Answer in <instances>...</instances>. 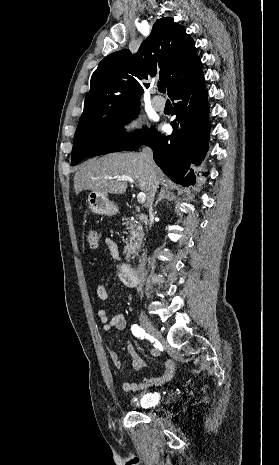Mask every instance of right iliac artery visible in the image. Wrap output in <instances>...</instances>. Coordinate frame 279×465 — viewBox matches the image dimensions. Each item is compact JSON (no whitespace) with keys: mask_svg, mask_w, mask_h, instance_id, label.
I'll use <instances>...</instances> for the list:
<instances>
[{"mask_svg":"<svg viewBox=\"0 0 279 465\" xmlns=\"http://www.w3.org/2000/svg\"><path fill=\"white\" fill-rule=\"evenodd\" d=\"M132 333L134 336L138 337V338H144V335H146L144 329H142L141 327H139L138 325H133L132 328Z\"/></svg>","mask_w":279,"mask_h":465,"instance_id":"obj_1","label":"right iliac artery"}]
</instances>
